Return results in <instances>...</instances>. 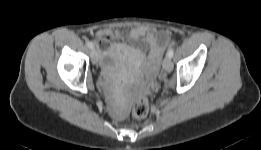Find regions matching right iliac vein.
Instances as JSON below:
<instances>
[{"label": "right iliac vein", "mask_w": 261, "mask_h": 150, "mask_svg": "<svg viewBox=\"0 0 261 150\" xmlns=\"http://www.w3.org/2000/svg\"><path fill=\"white\" fill-rule=\"evenodd\" d=\"M99 54L98 50L96 48H93L91 51V60L93 64H96L98 62Z\"/></svg>", "instance_id": "63e3f726"}]
</instances>
